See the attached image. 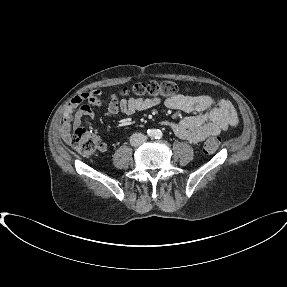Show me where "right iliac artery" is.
<instances>
[{"label":"right iliac artery","instance_id":"1","mask_svg":"<svg viewBox=\"0 0 287 287\" xmlns=\"http://www.w3.org/2000/svg\"><path fill=\"white\" fill-rule=\"evenodd\" d=\"M147 134H148V136L149 137H155L156 136V134H157V132H156V130H154V129H149L148 131H147Z\"/></svg>","mask_w":287,"mask_h":287}]
</instances>
